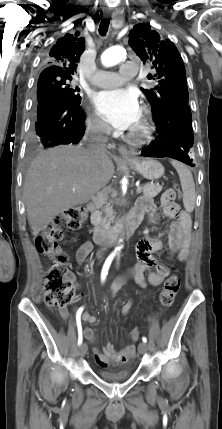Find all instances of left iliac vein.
<instances>
[{"instance_id":"1","label":"left iliac vein","mask_w":222,"mask_h":429,"mask_svg":"<svg viewBox=\"0 0 222 429\" xmlns=\"http://www.w3.org/2000/svg\"><path fill=\"white\" fill-rule=\"evenodd\" d=\"M148 350V345L145 342H141L138 345V351L140 354L146 353Z\"/></svg>"}]
</instances>
